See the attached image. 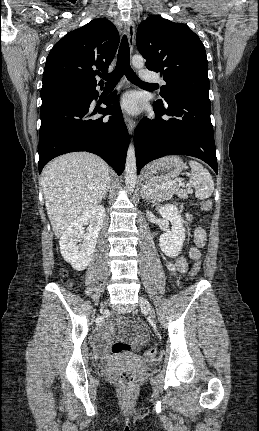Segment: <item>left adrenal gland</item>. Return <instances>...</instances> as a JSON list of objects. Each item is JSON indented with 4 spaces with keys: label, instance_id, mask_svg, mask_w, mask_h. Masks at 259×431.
Wrapping results in <instances>:
<instances>
[{
    "label": "left adrenal gland",
    "instance_id": "obj_1",
    "mask_svg": "<svg viewBox=\"0 0 259 431\" xmlns=\"http://www.w3.org/2000/svg\"><path fill=\"white\" fill-rule=\"evenodd\" d=\"M141 197L144 198V199H146L147 202H151V198H150V196L148 194H146L144 188H142V190H141Z\"/></svg>",
    "mask_w": 259,
    "mask_h": 431
}]
</instances>
